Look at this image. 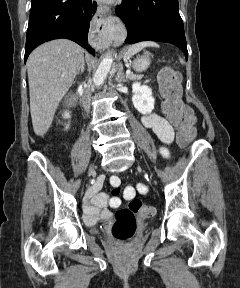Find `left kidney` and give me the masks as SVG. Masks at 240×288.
Returning <instances> with one entry per match:
<instances>
[{
	"instance_id": "1",
	"label": "left kidney",
	"mask_w": 240,
	"mask_h": 288,
	"mask_svg": "<svg viewBox=\"0 0 240 288\" xmlns=\"http://www.w3.org/2000/svg\"><path fill=\"white\" fill-rule=\"evenodd\" d=\"M132 102L141 114H150L154 109L155 99L152 97V89L138 82L132 85Z\"/></svg>"
}]
</instances>
